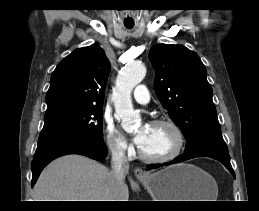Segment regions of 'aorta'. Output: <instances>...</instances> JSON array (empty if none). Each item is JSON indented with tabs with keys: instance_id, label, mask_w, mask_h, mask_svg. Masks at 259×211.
<instances>
[{
	"instance_id": "aorta-1",
	"label": "aorta",
	"mask_w": 259,
	"mask_h": 211,
	"mask_svg": "<svg viewBox=\"0 0 259 211\" xmlns=\"http://www.w3.org/2000/svg\"><path fill=\"white\" fill-rule=\"evenodd\" d=\"M146 75V67L139 61L127 64L118 74L113 96L116 116L124 130L129 131L139 123L140 115L133 109L131 92Z\"/></svg>"
}]
</instances>
